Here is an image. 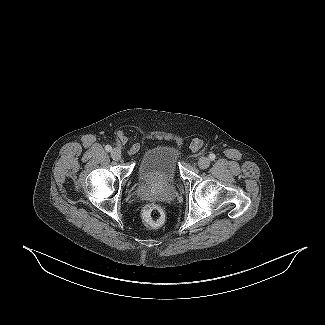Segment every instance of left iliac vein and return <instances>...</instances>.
<instances>
[{
  "label": "left iliac vein",
  "instance_id": "left-iliac-vein-1",
  "mask_svg": "<svg viewBox=\"0 0 325 325\" xmlns=\"http://www.w3.org/2000/svg\"><path fill=\"white\" fill-rule=\"evenodd\" d=\"M210 165V160L207 157H201L198 160V166L201 169H206Z\"/></svg>",
  "mask_w": 325,
  "mask_h": 325
}]
</instances>
